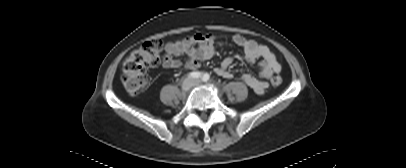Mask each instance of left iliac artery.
Returning <instances> with one entry per match:
<instances>
[{"label":"left iliac artery","instance_id":"1","mask_svg":"<svg viewBox=\"0 0 406 168\" xmlns=\"http://www.w3.org/2000/svg\"><path fill=\"white\" fill-rule=\"evenodd\" d=\"M209 78H210L209 74L205 73V74L202 76V81L207 82V81L209 80Z\"/></svg>","mask_w":406,"mask_h":168}]
</instances>
